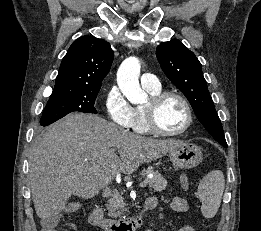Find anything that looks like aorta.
Returning <instances> with one entry per match:
<instances>
[{"label": "aorta", "instance_id": "aorta-1", "mask_svg": "<svg viewBox=\"0 0 261 231\" xmlns=\"http://www.w3.org/2000/svg\"><path fill=\"white\" fill-rule=\"evenodd\" d=\"M140 62L136 57L125 59L117 72V83L123 95L132 104L143 103L147 94L139 84Z\"/></svg>", "mask_w": 261, "mask_h": 231}]
</instances>
